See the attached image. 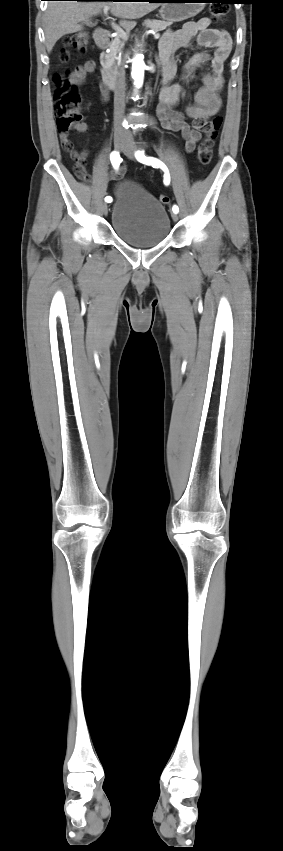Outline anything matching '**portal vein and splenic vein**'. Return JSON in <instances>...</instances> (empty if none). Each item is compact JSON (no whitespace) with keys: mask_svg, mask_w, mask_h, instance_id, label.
<instances>
[{"mask_svg":"<svg viewBox=\"0 0 283 851\" xmlns=\"http://www.w3.org/2000/svg\"><path fill=\"white\" fill-rule=\"evenodd\" d=\"M108 10H109V7H104L103 11H104V14H105V15H107V14H108ZM112 25H113V28L115 29V31H116V32H117V33L121 36V38H123V39H125V40L128 38V34H127V32H126V31H124L121 27H119V26H118V25H116V24H112ZM159 37H160V35H159V34H155V35H154V38H155V39H159Z\"/></svg>","mask_w":283,"mask_h":851,"instance_id":"1","label":"portal vein and splenic vein"}]
</instances>
